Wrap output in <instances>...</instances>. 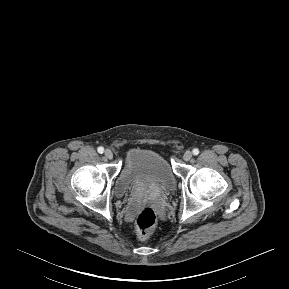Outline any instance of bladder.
<instances>
[{
	"label": "bladder",
	"mask_w": 289,
	"mask_h": 289,
	"mask_svg": "<svg viewBox=\"0 0 289 289\" xmlns=\"http://www.w3.org/2000/svg\"><path fill=\"white\" fill-rule=\"evenodd\" d=\"M175 184L174 173L162 155L136 148L128 153L115 181L114 192L118 198L142 192L169 193Z\"/></svg>",
	"instance_id": "bladder-1"
}]
</instances>
